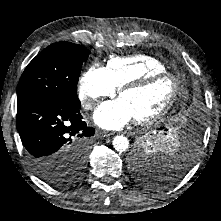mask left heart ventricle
Wrapping results in <instances>:
<instances>
[{"label":"left heart ventricle","mask_w":221,"mask_h":221,"mask_svg":"<svg viewBox=\"0 0 221 221\" xmlns=\"http://www.w3.org/2000/svg\"><path fill=\"white\" fill-rule=\"evenodd\" d=\"M173 91V81L170 78H162L143 89L126 91L120 98L130 108L134 119H138L160 111L170 100Z\"/></svg>","instance_id":"b2bd125f"}]
</instances>
